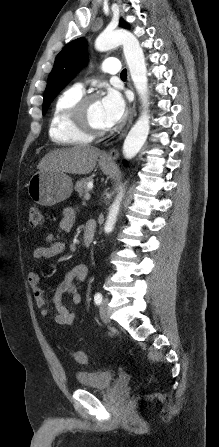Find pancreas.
<instances>
[{
	"mask_svg": "<svg viewBox=\"0 0 219 447\" xmlns=\"http://www.w3.org/2000/svg\"><path fill=\"white\" fill-rule=\"evenodd\" d=\"M92 181H93V179L91 177H87V178H83L76 182L75 190L79 193L80 197L85 195L86 193H88L89 190H88L87 185L89 182H92Z\"/></svg>",
	"mask_w": 219,
	"mask_h": 447,
	"instance_id": "pancreas-1",
	"label": "pancreas"
}]
</instances>
